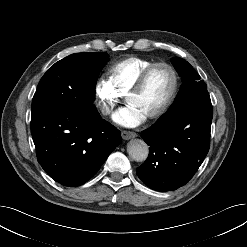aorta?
I'll return each mask as SVG.
<instances>
[{
	"label": "aorta",
	"mask_w": 247,
	"mask_h": 247,
	"mask_svg": "<svg viewBox=\"0 0 247 247\" xmlns=\"http://www.w3.org/2000/svg\"><path fill=\"white\" fill-rule=\"evenodd\" d=\"M127 152L133 160L142 162L147 159L149 148L143 140L133 139L127 145Z\"/></svg>",
	"instance_id": "aorta-1"
}]
</instances>
